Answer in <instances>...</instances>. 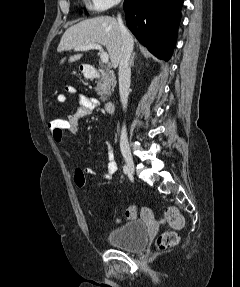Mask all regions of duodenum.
I'll return each instance as SVG.
<instances>
[{
  "label": "duodenum",
  "instance_id": "obj_1",
  "mask_svg": "<svg viewBox=\"0 0 240 287\" xmlns=\"http://www.w3.org/2000/svg\"><path fill=\"white\" fill-rule=\"evenodd\" d=\"M83 73L86 78H93L97 75V69L90 64L83 65ZM116 103L115 101H107L105 103V110L108 113H113L115 110Z\"/></svg>",
  "mask_w": 240,
  "mask_h": 287
}]
</instances>
